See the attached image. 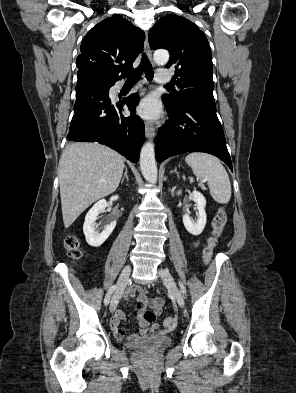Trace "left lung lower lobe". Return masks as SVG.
Masks as SVG:
<instances>
[{
	"label": "left lung lower lobe",
	"mask_w": 296,
	"mask_h": 393,
	"mask_svg": "<svg viewBox=\"0 0 296 393\" xmlns=\"http://www.w3.org/2000/svg\"><path fill=\"white\" fill-rule=\"evenodd\" d=\"M166 109L170 119L158 132L155 146L158 162L186 152H205L217 156L232 170L214 100L194 98L177 109Z\"/></svg>",
	"instance_id": "left-lung-lower-lobe-1"
}]
</instances>
